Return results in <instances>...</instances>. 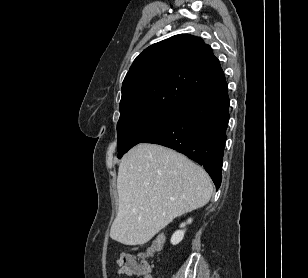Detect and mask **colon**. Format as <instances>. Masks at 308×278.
<instances>
[{"label":"colon","mask_w":308,"mask_h":278,"mask_svg":"<svg viewBox=\"0 0 308 278\" xmlns=\"http://www.w3.org/2000/svg\"><path fill=\"white\" fill-rule=\"evenodd\" d=\"M163 241L164 236L162 234L158 235L152 242L151 246L147 249V251L141 254L142 259L140 262H138L133 256L126 253L120 254L117 260L119 269L124 272V275L142 277L146 273L148 265L145 257L157 252L161 248ZM131 250L133 251L134 249L132 248Z\"/></svg>","instance_id":"1"}]
</instances>
